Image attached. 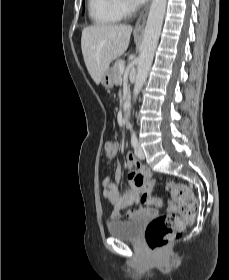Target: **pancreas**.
<instances>
[{
    "instance_id": "cf45deb5",
    "label": "pancreas",
    "mask_w": 229,
    "mask_h": 280,
    "mask_svg": "<svg viewBox=\"0 0 229 280\" xmlns=\"http://www.w3.org/2000/svg\"><path fill=\"white\" fill-rule=\"evenodd\" d=\"M123 64V61L118 59L117 61H115L114 65H113V79H114V83L117 85L118 83H120L121 79H122V73L120 72V66Z\"/></svg>"
}]
</instances>
